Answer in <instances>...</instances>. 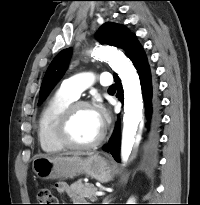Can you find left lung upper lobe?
Returning a JSON list of instances; mask_svg holds the SVG:
<instances>
[{
	"mask_svg": "<svg viewBox=\"0 0 200 205\" xmlns=\"http://www.w3.org/2000/svg\"><path fill=\"white\" fill-rule=\"evenodd\" d=\"M133 36L134 34H131L127 28L113 23L103 24L97 32V38L102 44L113 45L124 50ZM70 52V49L62 50L49 65L41 85L39 104L45 100L63 76L70 59Z\"/></svg>",
	"mask_w": 200,
	"mask_h": 205,
	"instance_id": "1",
	"label": "left lung upper lobe"
}]
</instances>
